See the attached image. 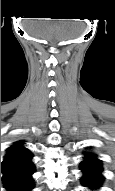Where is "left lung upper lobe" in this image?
<instances>
[{
  "mask_svg": "<svg viewBox=\"0 0 115 191\" xmlns=\"http://www.w3.org/2000/svg\"><path fill=\"white\" fill-rule=\"evenodd\" d=\"M86 157L96 158V155H95V154H92V153H87V154H86Z\"/></svg>",
  "mask_w": 115,
  "mask_h": 191,
  "instance_id": "5c2ea615",
  "label": "left lung upper lobe"
}]
</instances>
